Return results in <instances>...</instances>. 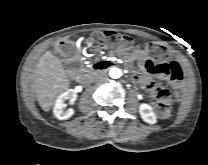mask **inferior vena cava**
I'll list each match as a JSON object with an SVG mask.
<instances>
[{"instance_id":"602c4592","label":"inferior vena cava","mask_w":208,"mask_h":165,"mask_svg":"<svg viewBox=\"0 0 208 165\" xmlns=\"http://www.w3.org/2000/svg\"><path fill=\"white\" fill-rule=\"evenodd\" d=\"M106 78V73H104V72H100V73H98L95 77H94V79L96 80V81H102V80H104Z\"/></svg>"}]
</instances>
